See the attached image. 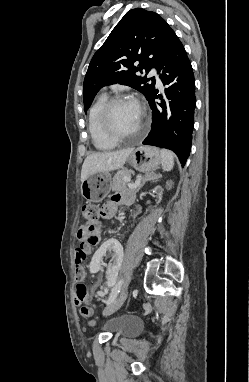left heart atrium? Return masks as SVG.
I'll return each instance as SVG.
<instances>
[{"mask_svg":"<svg viewBox=\"0 0 249 382\" xmlns=\"http://www.w3.org/2000/svg\"><path fill=\"white\" fill-rule=\"evenodd\" d=\"M133 104H134V106L137 108V109H139L140 110V108H139V105H138V103L137 102H132Z\"/></svg>","mask_w":249,"mask_h":382,"instance_id":"obj_1","label":"left heart atrium"}]
</instances>
